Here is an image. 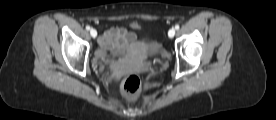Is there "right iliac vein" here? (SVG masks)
I'll use <instances>...</instances> for the list:
<instances>
[{"label":"right iliac vein","mask_w":276,"mask_h":120,"mask_svg":"<svg viewBox=\"0 0 276 120\" xmlns=\"http://www.w3.org/2000/svg\"><path fill=\"white\" fill-rule=\"evenodd\" d=\"M90 34H91L92 37L95 38L97 36V31L95 29H91Z\"/></svg>","instance_id":"1"}]
</instances>
